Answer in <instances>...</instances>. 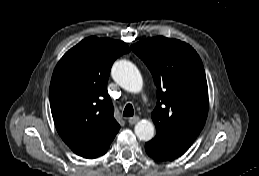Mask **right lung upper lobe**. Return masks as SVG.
Instances as JSON below:
<instances>
[{
  "label": "right lung upper lobe",
  "mask_w": 259,
  "mask_h": 176,
  "mask_svg": "<svg viewBox=\"0 0 259 176\" xmlns=\"http://www.w3.org/2000/svg\"><path fill=\"white\" fill-rule=\"evenodd\" d=\"M129 51L123 42L88 37L55 67L49 90L53 120L63 141L79 156L104 154L120 129L107 81L113 62Z\"/></svg>",
  "instance_id": "right-lung-upper-lobe-1"
}]
</instances>
